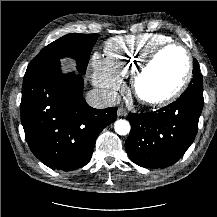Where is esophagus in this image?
Returning <instances> with one entry per match:
<instances>
[{"mask_svg":"<svg viewBox=\"0 0 217 217\" xmlns=\"http://www.w3.org/2000/svg\"><path fill=\"white\" fill-rule=\"evenodd\" d=\"M128 112L126 109L120 107L117 111V115L120 116V117H125L127 116Z\"/></svg>","mask_w":217,"mask_h":217,"instance_id":"1","label":"esophagus"}]
</instances>
